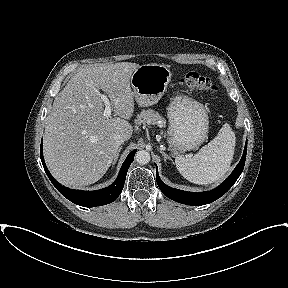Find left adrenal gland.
<instances>
[{
    "mask_svg": "<svg viewBox=\"0 0 288 288\" xmlns=\"http://www.w3.org/2000/svg\"><path fill=\"white\" fill-rule=\"evenodd\" d=\"M160 152H161V154L163 155L165 161H166L167 159H169V160H171V161L173 162L172 158H171L169 155H167L163 150H161Z\"/></svg>",
    "mask_w": 288,
    "mask_h": 288,
    "instance_id": "left-adrenal-gland-1",
    "label": "left adrenal gland"
}]
</instances>
